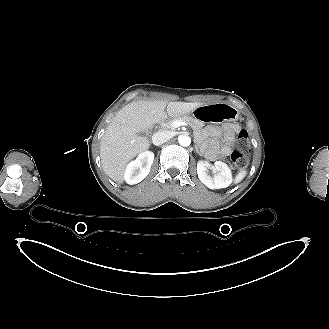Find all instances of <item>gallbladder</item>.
I'll list each match as a JSON object with an SVG mask.
<instances>
[{
  "label": "gallbladder",
  "instance_id": "1",
  "mask_svg": "<svg viewBox=\"0 0 329 329\" xmlns=\"http://www.w3.org/2000/svg\"><path fill=\"white\" fill-rule=\"evenodd\" d=\"M139 134H140L141 136H145V135H146L145 132H140Z\"/></svg>",
  "mask_w": 329,
  "mask_h": 329
}]
</instances>
